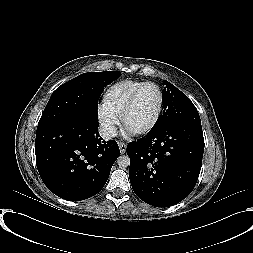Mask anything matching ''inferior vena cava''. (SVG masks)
I'll return each mask as SVG.
<instances>
[{
    "label": "inferior vena cava",
    "mask_w": 253,
    "mask_h": 253,
    "mask_svg": "<svg viewBox=\"0 0 253 253\" xmlns=\"http://www.w3.org/2000/svg\"><path fill=\"white\" fill-rule=\"evenodd\" d=\"M99 134L103 140L108 141L116 136L117 130L114 126H102L99 129Z\"/></svg>",
    "instance_id": "inferior-vena-cava-1"
}]
</instances>
